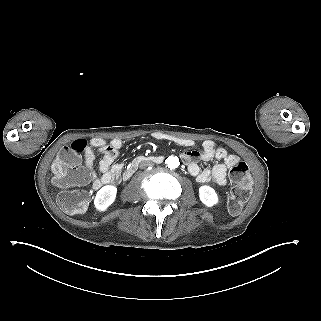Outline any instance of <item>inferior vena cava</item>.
<instances>
[{
  "label": "inferior vena cava",
  "mask_w": 321,
  "mask_h": 321,
  "mask_svg": "<svg viewBox=\"0 0 321 321\" xmlns=\"http://www.w3.org/2000/svg\"><path fill=\"white\" fill-rule=\"evenodd\" d=\"M154 163L150 160H143L139 163V168L144 169L146 167H153Z\"/></svg>",
  "instance_id": "inferior-vena-cava-1"
}]
</instances>
